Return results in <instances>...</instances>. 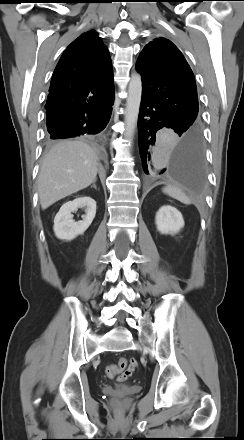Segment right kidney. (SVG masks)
<instances>
[{
	"instance_id": "right-kidney-1",
	"label": "right kidney",
	"mask_w": 244,
	"mask_h": 440,
	"mask_svg": "<svg viewBox=\"0 0 244 440\" xmlns=\"http://www.w3.org/2000/svg\"><path fill=\"white\" fill-rule=\"evenodd\" d=\"M85 208L83 220L75 222L72 212ZM96 214V202L88 196L78 197L62 205L54 218L53 230L58 239L71 241L82 235L91 225Z\"/></svg>"
}]
</instances>
